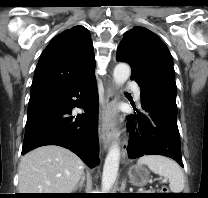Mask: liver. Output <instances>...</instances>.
<instances>
[{"label": "liver", "instance_id": "obj_1", "mask_svg": "<svg viewBox=\"0 0 208 198\" xmlns=\"http://www.w3.org/2000/svg\"><path fill=\"white\" fill-rule=\"evenodd\" d=\"M83 173L84 163L77 155L46 145L21 158L18 189L20 193H71Z\"/></svg>", "mask_w": 208, "mask_h": 198}]
</instances>
